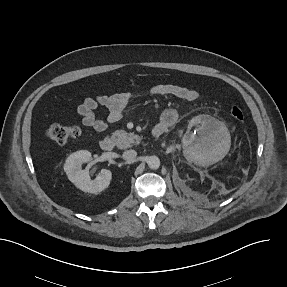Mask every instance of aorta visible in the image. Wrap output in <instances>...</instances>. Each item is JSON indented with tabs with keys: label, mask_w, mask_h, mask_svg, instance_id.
I'll return each instance as SVG.
<instances>
[{
	"label": "aorta",
	"mask_w": 287,
	"mask_h": 287,
	"mask_svg": "<svg viewBox=\"0 0 287 287\" xmlns=\"http://www.w3.org/2000/svg\"><path fill=\"white\" fill-rule=\"evenodd\" d=\"M147 164L150 169L156 170L160 167V159L157 156H150L147 158Z\"/></svg>",
	"instance_id": "aorta-1"
}]
</instances>
